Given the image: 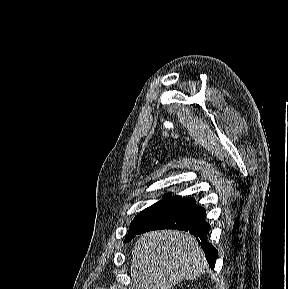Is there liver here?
<instances>
[{
  "instance_id": "obj_1",
  "label": "liver",
  "mask_w": 288,
  "mask_h": 289,
  "mask_svg": "<svg viewBox=\"0 0 288 289\" xmlns=\"http://www.w3.org/2000/svg\"><path fill=\"white\" fill-rule=\"evenodd\" d=\"M206 268L200 245L183 231L145 233L132 250L130 271L135 289H170L182 280L196 279Z\"/></svg>"
}]
</instances>
